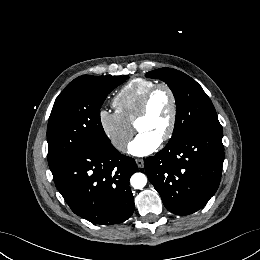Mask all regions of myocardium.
I'll return each mask as SVG.
<instances>
[{
  "label": "myocardium",
  "mask_w": 260,
  "mask_h": 260,
  "mask_svg": "<svg viewBox=\"0 0 260 260\" xmlns=\"http://www.w3.org/2000/svg\"><path fill=\"white\" fill-rule=\"evenodd\" d=\"M160 90H165L171 99V115L170 121L167 127L166 132L164 133L163 137L161 138V142L164 143L170 140L175 132L176 124H177V117H178V102L177 97L174 90L166 83H158L151 87L146 94L144 95L139 110L136 114L134 124L136 126L137 122L144 118L148 114L149 106L153 96Z\"/></svg>",
  "instance_id": "f54148a6"
}]
</instances>
